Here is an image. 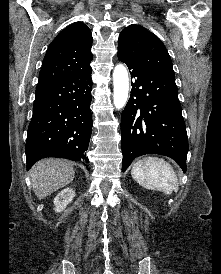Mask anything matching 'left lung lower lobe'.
I'll use <instances>...</instances> for the list:
<instances>
[{
    "instance_id": "left-lung-lower-lobe-1",
    "label": "left lung lower lobe",
    "mask_w": 221,
    "mask_h": 274,
    "mask_svg": "<svg viewBox=\"0 0 221 274\" xmlns=\"http://www.w3.org/2000/svg\"><path fill=\"white\" fill-rule=\"evenodd\" d=\"M131 73V96L121 114L123 172L144 154L174 159L186 171L188 139L175 78L118 51Z\"/></svg>"
}]
</instances>
